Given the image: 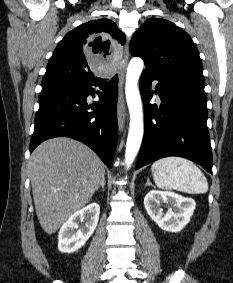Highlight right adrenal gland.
<instances>
[{
	"mask_svg": "<svg viewBox=\"0 0 233 283\" xmlns=\"http://www.w3.org/2000/svg\"><path fill=\"white\" fill-rule=\"evenodd\" d=\"M105 184H106V180H105V177H103L100 185L98 186V188L101 186L102 189H104L105 188ZM98 188H97V190H98Z\"/></svg>",
	"mask_w": 233,
	"mask_h": 283,
	"instance_id": "2a0ac1e0",
	"label": "right adrenal gland"
}]
</instances>
